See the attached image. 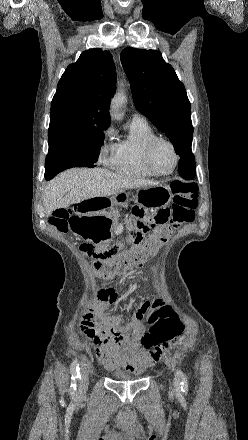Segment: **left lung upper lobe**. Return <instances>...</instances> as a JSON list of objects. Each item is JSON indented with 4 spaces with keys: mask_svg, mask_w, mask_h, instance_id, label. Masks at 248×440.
Returning <instances> with one entry per match:
<instances>
[{
    "mask_svg": "<svg viewBox=\"0 0 248 440\" xmlns=\"http://www.w3.org/2000/svg\"><path fill=\"white\" fill-rule=\"evenodd\" d=\"M121 62L130 81L136 109L166 134L180 156L183 178L195 176L191 151L193 126L185 87L156 50L125 48Z\"/></svg>",
    "mask_w": 248,
    "mask_h": 440,
    "instance_id": "5c2ea615",
    "label": "left lung upper lobe"
}]
</instances>
